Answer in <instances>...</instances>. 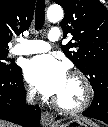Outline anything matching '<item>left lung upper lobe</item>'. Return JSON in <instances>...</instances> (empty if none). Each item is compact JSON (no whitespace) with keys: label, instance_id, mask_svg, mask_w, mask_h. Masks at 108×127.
<instances>
[{"label":"left lung upper lobe","instance_id":"1","mask_svg":"<svg viewBox=\"0 0 108 127\" xmlns=\"http://www.w3.org/2000/svg\"><path fill=\"white\" fill-rule=\"evenodd\" d=\"M65 11L63 34L74 43L64 54L89 79L94 93L108 94V10L99 0H55Z\"/></svg>","mask_w":108,"mask_h":127}]
</instances>
